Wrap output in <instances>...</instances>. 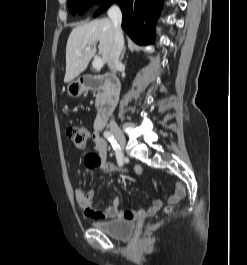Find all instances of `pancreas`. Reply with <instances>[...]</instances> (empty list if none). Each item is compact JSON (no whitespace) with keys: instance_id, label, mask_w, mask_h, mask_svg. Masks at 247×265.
I'll return each instance as SVG.
<instances>
[{"instance_id":"cf45deb5","label":"pancreas","mask_w":247,"mask_h":265,"mask_svg":"<svg viewBox=\"0 0 247 265\" xmlns=\"http://www.w3.org/2000/svg\"><path fill=\"white\" fill-rule=\"evenodd\" d=\"M105 98H104V94L99 92L97 95H96V101H95V106L97 109H99V107L103 104Z\"/></svg>"}]
</instances>
